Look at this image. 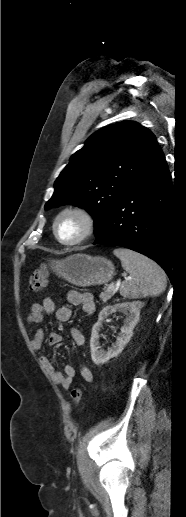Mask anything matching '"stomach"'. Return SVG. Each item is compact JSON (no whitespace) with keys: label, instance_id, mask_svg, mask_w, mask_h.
<instances>
[{"label":"stomach","instance_id":"0dacf381","mask_svg":"<svg viewBox=\"0 0 186 517\" xmlns=\"http://www.w3.org/2000/svg\"><path fill=\"white\" fill-rule=\"evenodd\" d=\"M50 267L56 275L80 287L106 284L115 274L114 265L107 258L80 253L51 260Z\"/></svg>","mask_w":186,"mask_h":517}]
</instances>
